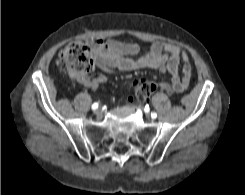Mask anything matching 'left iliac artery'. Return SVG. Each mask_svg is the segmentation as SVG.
Listing matches in <instances>:
<instances>
[{"label":"left iliac artery","mask_w":245,"mask_h":195,"mask_svg":"<svg viewBox=\"0 0 245 195\" xmlns=\"http://www.w3.org/2000/svg\"><path fill=\"white\" fill-rule=\"evenodd\" d=\"M151 117L155 119L157 117V114L155 112L151 113Z\"/></svg>","instance_id":"left-iliac-artery-1"}]
</instances>
